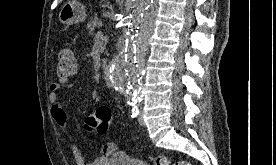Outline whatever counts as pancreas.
<instances>
[{
	"instance_id": "1",
	"label": "pancreas",
	"mask_w": 276,
	"mask_h": 165,
	"mask_svg": "<svg viewBox=\"0 0 276 165\" xmlns=\"http://www.w3.org/2000/svg\"><path fill=\"white\" fill-rule=\"evenodd\" d=\"M103 25V22L100 18L95 16L87 23V29L89 30L90 34H93L95 29H100Z\"/></svg>"
}]
</instances>
